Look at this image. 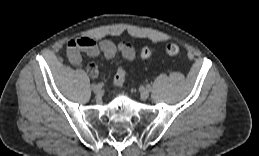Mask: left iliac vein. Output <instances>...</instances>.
<instances>
[{
	"mask_svg": "<svg viewBox=\"0 0 259 156\" xmlns=\"http://www.w3.org/2000/svg\"><path fill=\"white\" fill-rule=\"evenodd\" d=\"M149 93H150L149 89H147V88L142 89L141 90V98L143 100H146L149 97Z\"/></svg>",
	"mask_w": 259,
	"mask_h": 156,
	"instance_id": "4c4485c4",
	"label": "left iliac vein"
}]
</instances>
